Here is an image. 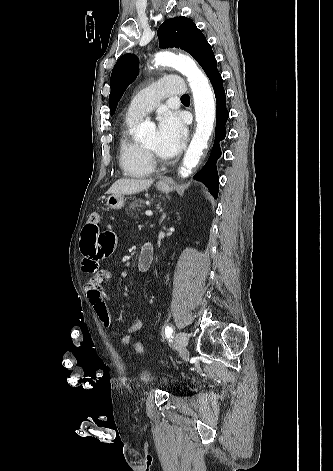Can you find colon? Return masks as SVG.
Segmentation results:
<instances>
[{
	"instance_id": "colon-1",
	"label": "colon",
	"mask_w": 333,
	"mask_h": 471,
	"mask_svg": "<svg viewBox=\"0 0 333 471\" xmlns=\"http://www.w3.org/2000/svg\"><path fill=\"white\" fill-rule=\"evenodd\" d=\"M88 221H89L91 224H93V225L98 224L99 221H100V215H99V213H98V212H92V213L90 214V216H89V220H88ZM133 347H134V349H135V351H136L137 353H142V352L144 351V346H143V344L140 343V342L134 343Z\"/></svg>"
}]
</instances>
